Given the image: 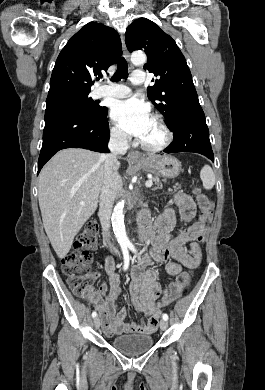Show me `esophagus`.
Returning <instances> with one entry per match:
<instances>
[{
    "mask_svg": "<svg viewBox=\"0 0 265 390\" xmlns=\"http://www.w3.org/2000/svg\"><path fill=\"white\" fill-rule=\"evenodd\" d=\"M121 41H122V48H123V54H124V57L129 61L130 59V54L127 50V47L125 45V41H124V37L121 36ZM129 160L132 161V162H143L144 159L143 157L141 156V154L137 151H134V150H131L129 152Z\"/></svg>",
    "mask_w": 265,
    "mask_h": 390,
    "instance_id": "esophagus-1",
    "label": "esophagus"
}]
</instances>
